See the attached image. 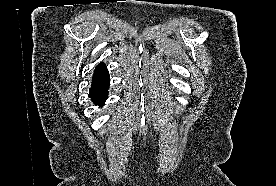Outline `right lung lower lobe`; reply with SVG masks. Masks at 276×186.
<instances>
[{
	"label": "right lung lower lobe",
	"instance_id": "98d812e1",
	"mask_svg": "<svg viewBox=\"0 0 276 186\" xmlns=\"http://www.w3.org/2000/svg\"><path fill=\"white\" fill-rule=\"evenodd\" d=\"M109 85V77L102 80L92 81L89 94L92 101L96 105L102 106L105 103L108 95Z\"/></svg>",
	"mask_w": 276,
	"mask_h": 186
}]
</instances>
